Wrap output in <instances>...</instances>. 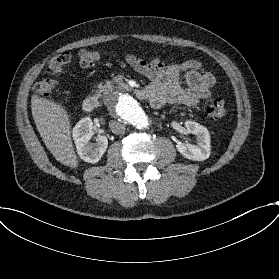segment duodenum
I'll return each instance as SVG.
<instances>
[{"label": "duodenum", "instance_id": "1", "mask_svg": "<svg viewBox=\"0 0 279 279\" xmlns=\"http://www.w3.org/2000/svg\"><path fill=\"white\" fill-rule=\"evenodd\" d=\"M130 88L125 84H119L113 88L114 93L129 92ZM135 95L139 99H147L148 92L145 89L135 91ZM83 110L86 113H91L97 107V99L94 96H88L83 101Z\"/></svg>", "mask_w": 279, "mask_h": 279}]
</instances>
